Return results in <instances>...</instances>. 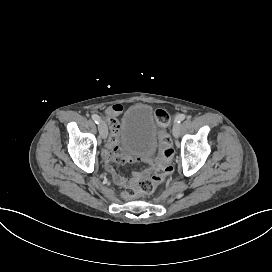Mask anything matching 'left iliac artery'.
<instances>
[{
    "instance_id": "44dca946",
    "label": "left iliac artery",
    "mask_w": 272,
    "mask_h": 272,
    "mask_svg": "<svg viewBox=\"0 0 272 272\" xmlns=\"http://www.w3.org/2000/svg\"><path fill=\"white\" fill-rule=\"evenodd\" d=\"M184 119H185V115H184V114H180V115H178V116L176 117L175 123H176V124H179V123H181Z\"/></svg>"
}]
</instances>
